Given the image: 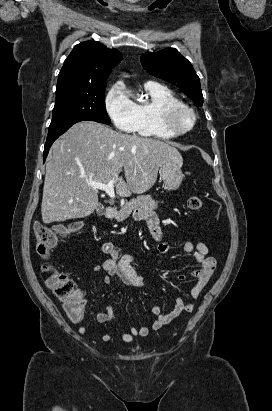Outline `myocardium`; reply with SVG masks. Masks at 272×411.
<instances>
[{
  "mask_svg": "<svg viewBox=\"0 0 272 411\" xmlns=\"http://www.w3.org/2000/svg\"><path fill=\"white\" fill-rule=\"evenodd\" d=\"M189 114L190 123L181 128L177 125L176 119L182 114ZM197 116L194 110L183 102L171 103L163 106L160 110V123L162 128L172 137L185 135L190 132L196 125Z\"/></svg>",
  "mask_w": 272,
  "mask_h": 411,
  "instance_id": "obj_1",
  "label": "myocardium"
}]
</instances>
